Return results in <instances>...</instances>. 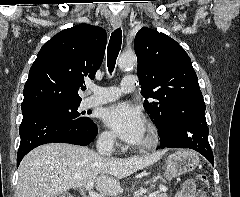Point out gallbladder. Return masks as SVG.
Segmentation results:
<instances>
[{
  "label": "gallbladder",
  "mask_w": 240,
  "mask_h": 197,
  "mask_svg": "<svg viewBox=\"0 0 240 197\" xmlns=\"http://www.w3.org/2000/svg\"><path fill=\"white\" fill-rule=\"evenodd\" d=\"M57 197H73V196L70 195L69 193H61Z\"/></svg>",
  "instance_id": "obj_1"
}]
</instances>
